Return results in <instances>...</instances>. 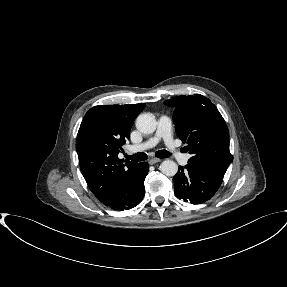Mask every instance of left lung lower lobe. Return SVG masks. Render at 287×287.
<instances>
[{
    "instance_id": "0a47b994",
    "label": "left lung lower lobe",
    "mask_w": 287,
    "mask_h": 287,
    "mask_svg": "<svg viewBox=\"0 0 287 287\" xmlns=\"http://www.w3.org/2000/svg\"><path fill=\"white\" fill-rule=\"evenodd\" d=\"M222 174L187 164L179 166V171L173 178L174 193L177 198L192 204H201L209 200L219 189Z\"/></svg>"
}]
</instances>
